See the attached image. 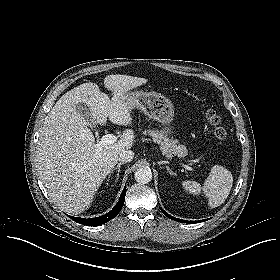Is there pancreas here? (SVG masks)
Segmentation results:
<instances>
[{
  "label": "pancreas",
  "mask_w": 280,
  "mask_h": 280,
  "mask_svg": "<svg viewBox=\"0 0 280 280\" xmlns=\"http://www.w3.org/2000/svg\"><path fill=\"white\" fill-rule=\"evenodd\" d=\"M144 134H148L152 137V140L160 145V150L164 155H177L178 157H185L187 155V148L181 145L176 140H171L168 137H164L161 132L149 130Z\"/></svg>",
  "instance_id": "1"
}]
</instances>
